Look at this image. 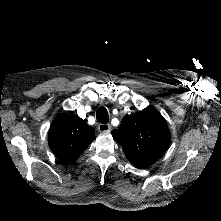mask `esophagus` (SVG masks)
Masks as SVG:
<instances>
[{"label":"esophagus","mask_w":221,"mask_h":221,"mask_svg":"<svg viewBox=\"0 0 221 221\" xmlns=\"http://www.w3.org/2000/svg\"><path fill=\"white\" fill-rule=\"evenodd\" d=\"M111 130V127L109 124H99L98 125V131L100 133L109 132Z\"/></svg>","instance_id":"34e87169"}]
</instances>
